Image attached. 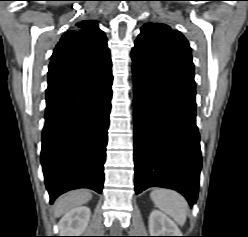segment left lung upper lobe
<instances>
[{
	"mask_svg": "<svg viewBox=\"0 0 248 237\" xmlns=\"http://www.w3.org/2000/svg\"><path fill=\"white\" fill-rule=\"evenodd\" d=\"M133 65L159 80L195 89L191 48L186 38L166 24L147 23L132 49Z\"/></svg>",
	"mask_w": 248,
	"mask_h": 237,
	"instance_id": "left-lung-upper-lobe-1",
	"label": "left lung upper lobe"
}]
</instances>
